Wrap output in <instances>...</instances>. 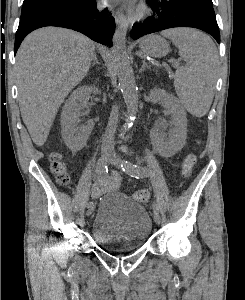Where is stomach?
I'll return each mask as SVG.
<instances>
[{
  "label": "stomach",
  "instance_id": "stomach-1",
  "mask_svg": "<svg viewBox=\"0 0 245 300\" xmlns=\"http://www.w3.org/2000/svg\"><path fill=\"white\" fill-rule=\"evenodd\" d=\"M140 50L152 57H163L170 50L169 43L159 35H149L141 39Z\"/></svg>",
  "mask_w": 245,
  "mask_h": 300
}]
</instances>
